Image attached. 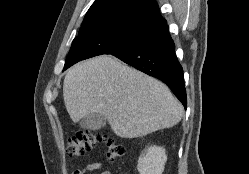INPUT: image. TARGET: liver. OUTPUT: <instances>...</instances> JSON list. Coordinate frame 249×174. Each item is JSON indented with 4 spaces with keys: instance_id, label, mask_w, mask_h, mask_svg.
I'll return each mask as SVG.
<instances>
[{
    "instance_id": "liver-1",
    "label": "liver",
    "mask_w": 249,
    "mask_h": 174,
    "mask_svg": "<svg viewBox=\"0 0 249 174\" xmlns=\"http://www.w3.org/2000/svg\"><path fill=\"white\" fill-rule=\"evenodd\" d=\"M63 98L74 123L100 113L121 138L173 127L183 116L182 105L164 83L109 55L74 65L64 78Z\"/></svg>"
}]
</instances>
